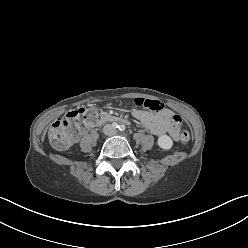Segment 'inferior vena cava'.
I'll return each mask as SVG.
<instances>
[{
    "label": "inferior vena cava",
    "instance_id": "1",
    "mask_svg": "<svg viewBox=\"0 0 248 248\" xmlns=\"http://www.w3.org/2000/svg\"><path fill=\"white\" fill-rule=\"evenodd\" d=\"M103 131L108 136H112L116 133L115 127L111 124L105 125Z\"/></svg>",
    "mask_w": 248,
    "mask_h": 248
}]
</instances>
